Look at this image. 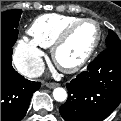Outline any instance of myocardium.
<instances>
[{
    "label": "myocardium",
    "instance_id": "1",
    "mask_svg": "<svg viewBox=\"0 0 121 121\" xmlns=\"http://www.w3.org/2000/svg\"><path fill=\"white\" fill-rule=\"evenodd\" d=\"M84 23H92L97 28V37L92 45V47L88 50V52L84 55L82 59H80L78 62L71 64V65H65L62 64L58 59V51L59 49L67 42V40L70 38L72 33L82 24ZM102 39V29L101 25L94 19L91 18H80L79 20L75 21L71 25H69L65 30H63L60 35L57 37V39L54 41V43L51 46V55L52 60L55 64V66L61 70L64 73H75L81 70L93 57L94 53L98 49L100 42Z\"/></svg>",
    "mask_w": 121,
    "mask_h": 121
}]
</instances>
